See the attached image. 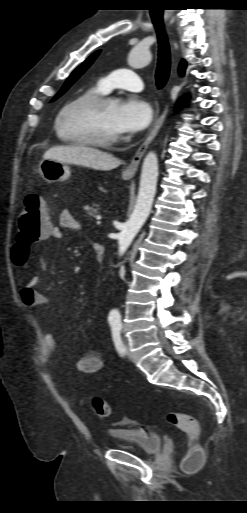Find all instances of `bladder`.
I'll list each match as a JSON object with an SVG mask.
<instances>
[{"instance_id": "bladder-1", "label": "bladder", "mask_w": 247, "mask_h": 513, "mask_svg": "<svg viewBox=\"0 0 247 513\" xmlns=\"http://www.w3.org/2000/svg\"><path fill=\"white\" fill-rule=\"evenodd\" d=\"M112 438L110 449L130 450L146 455L158 453L163 445L162 438L138 428H120L109 432Z\"/></svg>"}]
</instances>
